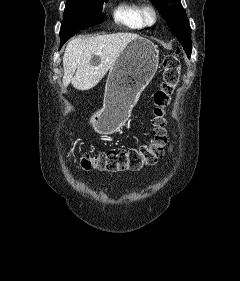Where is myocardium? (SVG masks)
Wrapping results in <instances>:
<instances>
[{
    "mask_svg": "<svg viewBox=\"0 0 240 281\" xmlns=\"http://www.w3.org/2000/svg\"><path fill=\"white\" fill-rule=\"evenodd\" d=\"M140 15L145 26H154L159 19L156 7L152 4H144L140 8Z\"/></svg>",
    "mask_w": 240,
    "mask_h": 281,
    "instance_id": "myocardium-1",
    "label": "myocardium"
}]
</instances>
